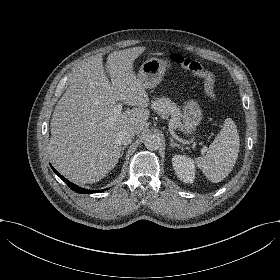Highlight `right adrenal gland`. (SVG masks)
Listing matches in <instances>:
<instances>
[{"mask_svg": "<svg viewBox=\"0 0 280 280\" xmlns=\"http://www.w3.org/2000/svg\"><path fill=\"white\" fill-rule=\"evenodd\" d=\"M124 149H125V146H123V147L121 148V154H120V157H122V156H123Z\"/></svg>", "mask_w": 280, "mask_h": 280, "instance_id": "right-adrenal-gland-1", "label": "right adrenal gland"}]
</instances>
